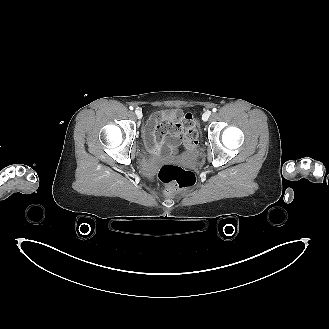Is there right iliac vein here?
Masks as SVG:
<instances>
[{
  "label": "right iliac vein",
  "instance_id": "right-iliac-vein-1",
  "mask_svg": "<svg viewBox=\"0 0 329 329\" xmlns=\"http://www.w3.org/2000/svg\"><path fill=\"white\" fill-rule=\"evenodd\" d=\"M135 114H136V116H137L138 119H141L142 116H143V115H142V112H141L140 110H138V109L135 110Z\"/></svg>",
  "mask_w": 329,
  "mask_h": 329
}]
</instances>
